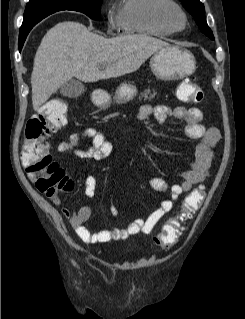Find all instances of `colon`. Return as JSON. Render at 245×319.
Segmentation results:
<instances>
[{"label": "colon", "instance_id": "obj_1", "mask_svg": "<svg viewBox=\"0 0 245 319\" xmlns=\"http://www.w3.org/2000/svg\"><path fill=\"white\" fill-rule=\"evenodd\" d=\"M179 97L185 102L197 103L203 100L204 94L199 86L187 79L180 86ZM67 110L65 102L53 100L42 113L28 119L24 131L22 164L27 173L35 176L36 187L50 197L58 192H68L73 187L72 180L51 155L48 144V138L66 125ZM204 198L203 186L191 191L184 199L180 213L155 236L156 243L164 248L172 246L179 237L182 222L192 216Z\"/></svg>", "mask_w": 245, "mask_h": 319}]
</instances>
